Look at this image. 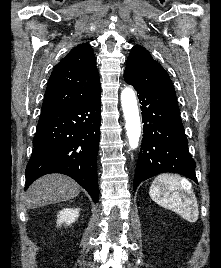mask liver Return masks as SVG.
Returning a JSON list of instances; mask_svg holds the SVG:
<instances>
[{
    "instance_id": "obj_1",
    "label": "liver",
    "mask_w": 221,
    "mask_h": 268,
    "mask_svg": "<svg viewBox=\"0 0 221 268\" xmlns=\"http://www.w3.org/2000/svg\"><path fill=\"white\" fill-rule=\"evenodd\" d=\"M79 193L80 186L73 179L51 174L39 178L29 187L25 206L30 209L60 203L77 197Z\"/></svg>"
}]
</instances>
